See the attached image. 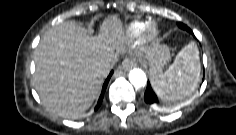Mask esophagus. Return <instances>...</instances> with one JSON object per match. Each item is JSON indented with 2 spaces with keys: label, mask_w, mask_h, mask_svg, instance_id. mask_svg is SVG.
<instances>
[{
  "label": "esophagus",
  "mask_w": 236,
  "mask_h": 135,
  "mask_svg": "<svg viewBox=\"0 0 236 135\" xmlns=\"http://www.w3.org/2000/svg\"><path fill=\"white\" fill-rule=\"evenodd\" d=\"M134 66H135V62L131 58L124 59L122 64H121V68L122 69H130V68H132Z\"/></svg>",
  "instance_id": "esophagus-1"
}]
</instances>
